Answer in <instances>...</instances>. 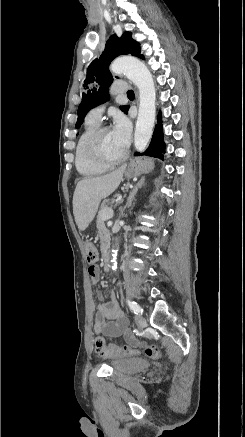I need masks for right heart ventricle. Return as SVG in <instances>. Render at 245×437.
I'll list each match as a JSON object with an SVG mask.
<instances>
[{"instance_id": "1", "label": "right heart ventricle", "mask_w": 245, "mask_h": 437, "mask_svg": "<svg viewBox=\"0 0 245 437\" xmlns=\"http://www.w3.org/2000/svg\"><path fill=\"white\" fill-rule=\"evenodd\" d=\"M99 123L85 120L83 130L77 139L75 147V166L83 176H98L105 173L109 167L93 161L86 151V141L89 135L98 127Z\"/></svg>"}]
</instances>
